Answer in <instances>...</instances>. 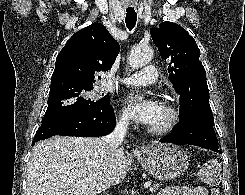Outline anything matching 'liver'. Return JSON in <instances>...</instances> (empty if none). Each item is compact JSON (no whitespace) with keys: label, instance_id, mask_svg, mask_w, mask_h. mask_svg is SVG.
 <instances>
[{"label":"liver","instance_id":"liver-1","mask_svg":"<svg viewBox=\"0 0 245 195\" xmlns=\"http://www.w3.org/2000/svg\"><path fill=\"white\" fill-rule=\"evenodd\" d=\"M108 150L103 138L54 136L37 143L27 170V195H97L119 184L127 157L122 148L111 156Z\"/></svg>","mask_w":245,"mask_h":195}]
</instances>
